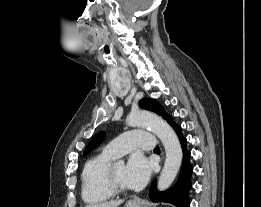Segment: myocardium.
<instances>
[{"mask_svg":"<svg viewBox=\"0 0 261 207\" xmlns=\"http://www.w3.org/2000/svg\"><path fill=\"white\" fill-rule=\"evenodd\" d=\"M114 165L115 164H111L107 169V174H106L107 185L113 194L126 193L128 189L120 186L115 179Z\"/></svg>","mask_w":261,"mask_h":207,"instance_id":"obj_1","label":"myocardium"}]
</instances>
